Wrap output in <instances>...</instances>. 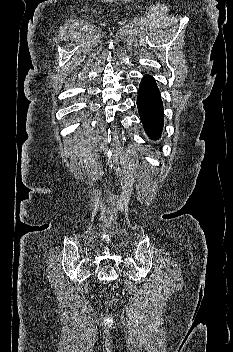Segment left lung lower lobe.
Masks as SVG:
<instances>
[{
  "label": "left lung lower lobe",
  "mask_w": 233,
  "mask_h": 352,
  "mask_svg": "<svg viewBox=\"0 0 233 352\" xmlns=\"http://www.w3.org/2000/svg\"><path fill=\"white\" fill-rule=\"evenodd\" d=\"M137 107L144 130L151 139H158L163 127V104L152 76H145L140 83Z\"/></svg>",
  "instance_id": "left-lung-lower-lobe-1"
}]
</instances>
